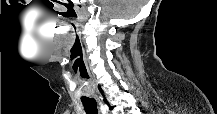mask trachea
Wrapping results in <instances>:
<instances>
[{
    "mask_svg": "<svg viewBox=\"0 0 217 114\" xmlns=\"http://www.w3.org/2000/svg\"><path fill=\"white\" fill-rule=\"evenodd\" d=\"M81 101L83 103L84 109L87 114H97L98 113L97 104L94 99L82 98Z\"/></svg>",
    "mask_w": 217,
    "mask_h": 114,
    "instance_id": "trachea-1",
    "label": "trachea"
}]
</instances>
